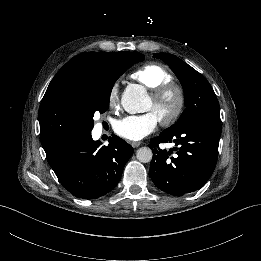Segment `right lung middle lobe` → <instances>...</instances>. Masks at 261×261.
Segmentation results:
<instances>
[{
  "mask_svg": "<svg viewBox=\"0 0 261 261\" xmlns=\"http://www.w3.org/2000/svg\"><path fill=\"white\" fill-rule=\"evenodd\" d=\"M142 60L144 55L141 53L122 52L112 64L86 79L82 89V104L88 121L86 134H89L93 128L95 112L104 113L109 108L110 94L119 76L130 66ZM41 143L46 155L52 154L61 146L60 141L53 135L41 137Z\"/></svg>",
  "mask_w": 261,
  "mask_h": 261,
  "instance_id": "dd1d6c3e",
  "label": "right lung middle lobe"
}]
</instances>
